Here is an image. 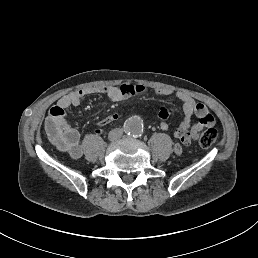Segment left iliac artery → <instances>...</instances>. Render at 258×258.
Returning <instances> with one entry per match:
<instances>
[{"instance_id":"left-iliac-artery-1","label":"left iliac artery","mask_w":258,"mask_h":258,"mask_svg":"<svg viewBox=\"0 0 258 258\" xmlns=\"http://www.w3.org/2000/svg\"><path fill=\"white\" fill-rule=\"evenodd\" d=\"M142 133V127L139 123L135 122L134 125H133V129H132V132H131V135L133 137H138L140 136Z\"/></svg>"}]
</instances>
